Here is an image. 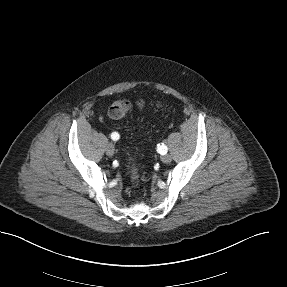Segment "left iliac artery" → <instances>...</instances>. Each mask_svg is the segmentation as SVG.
I'll return each mask as SVG.
<instances>
[{
	"instance_id": "left-iliac-artery-1",
	"label": "left iliac artery",
	"mask_w": 287,
	"mask_h": 287,
	"mask_svg": "<svg viewBox=\"0 0 287 287\" xmlns=\"http://www.w3.org/2000/svg\"><path fill=\"white\" fill-rule=\"evenodd\" d=\"M157 151L160 153V154H162V155H164V154H166L167 153V151H168V148H167V146L165 145V144H158L157 145Z\"/></svg>"
}]
</instances>
